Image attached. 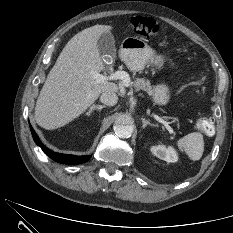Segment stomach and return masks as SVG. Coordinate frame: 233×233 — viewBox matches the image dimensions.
<instances>
[{
    "instance_id": "1",
    "label": "stomach",
    "mask_w": 233,
    "mask_h": 233,
    "mask_svg": "<svg viewBox=\"0 0 233 233\" xmlns=\"http://www.w3.org/2000/svg\"><path fill=\"white\" fill-rule=\"evenodd\" d=\"M119 55L126 66L134 72L141 71L149 62L154 63L159 69L164 67L165 60L137 37L125 38L121 44ZM153 99L157 104H167L170 99L169 88L165 84L157 85L154 88Z\"/></svg>"
}]
</instances>
